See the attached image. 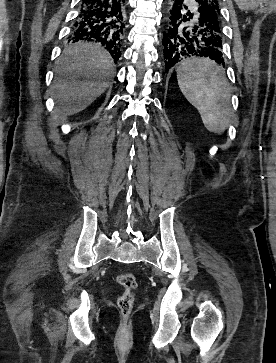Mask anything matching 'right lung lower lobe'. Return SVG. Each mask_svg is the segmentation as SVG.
<instances>
[{
  "instance_id": "98d812e1",
  "label": "right lung lower lobe",
  "mask_w": 276,
  "mask_h": 363,
  "mask_svg": "<svg viewBox=\"0 0 276 363\" xmlns=\"http://www.w3.org/2000/svg\"><path fill=\"white\" fill-rule=\"evenodd\" d=\"M126 0H81L69 41H91L102 44L115 62L121 55L127 30Z\"/></svg>"
}]
</instances>
